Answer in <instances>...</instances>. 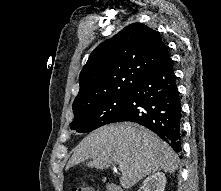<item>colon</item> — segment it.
I'll list each match as a JSON object with an SVG mask.
<instances>
[{"label":"colon","mask_w":221,"mask_h":191,"mask_svg":"<svg viewBox=\"0 0 221 191\" xmlns=\"http://www.w3.org/2000/svg\"><path fill=\"white\" fill-rule=\"evenodd\" d=\"M72 191H94V190L89 186L85 185L84 183H79L73 185Z\"/></svg>","instance_id":"1"}]
</instances>
